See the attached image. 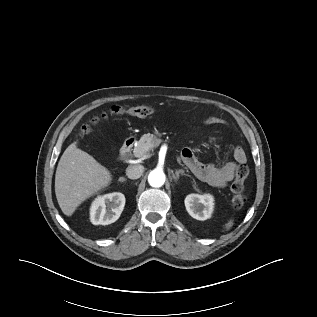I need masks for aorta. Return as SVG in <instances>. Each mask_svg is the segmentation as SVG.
<instances>
[{"mask_svg": "<svg viewBox=\"0 0 317 317\" xmlns=\"http://www.w3.org/2000/svg\"><path fill=\"white\" fill-rule=\"evenodd\" d=\"M165 174L161 169H154L148 175V183L152 187H161L165 183Z\"/></svg>", "mask_w": 317, "mask_h": 317, "instance_id": "1", "label": "aorta"}]
</instances>
